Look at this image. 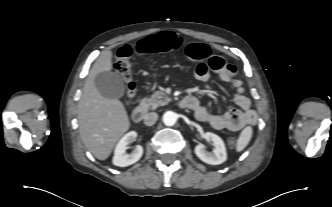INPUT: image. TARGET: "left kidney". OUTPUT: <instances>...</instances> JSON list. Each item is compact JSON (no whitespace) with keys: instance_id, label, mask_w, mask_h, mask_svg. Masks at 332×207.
<instances>
[{"instance_id":"5707ae66","label":"left kidney","mask_w":332,"mask_h":207,"mask_svg":"<svg viewBox=\"0 0 332 207\" xmlns=\"http://www.w3.org/2000/svg\"><path fill=\"white\" fill-rule=\"evenodd\" d=\"M207 141H210L214 145V149L208 152L204 149L203 144H198L195 147V154L203 162L211 165L222 164L227 159L226 148L223 140L216 134L207 132L203 136Z\"/></svg>"}]
</instances>
